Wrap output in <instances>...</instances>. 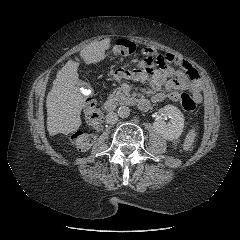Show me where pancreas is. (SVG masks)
<instances>
[{"mask_svg": "<svg viewBox=\"0 0 240 240\" xmlns=\"http://www.w3.org/2000/svg\"><path fill=\"white\" fill-rule=\"evenodd\" d=\"M130 99L128 95H125L120 88H116L112 94L108 96V103L124 104Z\"/></svg>", "mask_w": 240, "mask_h": 240, "instance_id": "obj_1", "label": "pancreas"}]
</instances>
